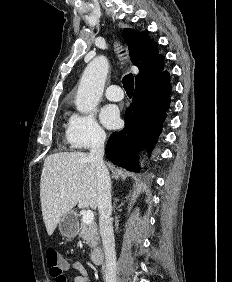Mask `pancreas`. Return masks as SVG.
I'll list each match as a JSON object with an SVG mask.
<instances>
[{"label":"pancreas","instance_id":"1","mask_svg":"<svg viewBox=\"0 0 232 282\" xmlns=\"http://www.w3.org/2000/svg\"><path fill=\"white\" fill-rule=\"evenodd\" d=\"M79 231V236L84 239L85 243L88 244L90 248H96L99 242L97 224L95 222L86 224L81 221Z\"/></svg>","mask_w":232,"mask_h":282}]
</instances>
